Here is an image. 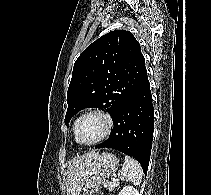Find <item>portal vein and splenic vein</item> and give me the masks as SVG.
Masks as SVG:
<instances>
[{
  "instance_id": "obj_1",
  "label": "portal vein and splenic vein",
  "mask_w": 211,
  "mask_h": 195,
  "mask_svg": "<svg viewBox=\"0 0 211 195\" xmlns=\"http://www.w3.org/2000/svg\"><path fill=\"white\" fill-rule=\"evenodd\" d=\"M118 180H119V179H114L113 181L116 182V181H118Z\"/></svg>"
}]
</instances>
